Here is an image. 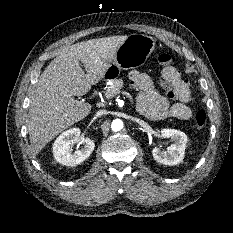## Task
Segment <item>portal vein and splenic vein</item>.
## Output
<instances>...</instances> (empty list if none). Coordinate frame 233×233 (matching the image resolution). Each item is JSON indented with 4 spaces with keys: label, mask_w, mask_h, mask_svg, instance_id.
<instances>
[{
    "label": "portal vein and splenic vein",
    "mask_w": 233,
    "mask_h": 233,
    "mask_svg": "<svg viewBox=\"0 0 233 233\" xmlns=\"http://www.w3.org/2000/svg\"><path fill=\"white\" fill-rule=\"evenodd\" d=\"M119 93V92H118ZM123 95H125V96H127V97H129V98H131V95L128 93V92H126V91H123V92H121Z\"/></svg>",
    "instance_id": "portal-vein-and-splenic-vein-1"
}]
</instances>
